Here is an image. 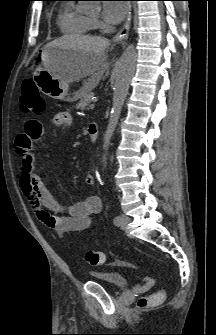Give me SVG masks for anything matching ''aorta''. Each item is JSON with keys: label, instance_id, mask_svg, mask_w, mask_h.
I'll return each mask as SVG.
<instances>
[{"label": "aorta", "instance_id": "762f6f07", "mask_svg": "<svg viewBox=\"0 0 216 335\" xmlns=\"http://www.w3.org/2000/svg\"><path fill=\"white\" fill-rule=\"evenodd\" d=\"M136 60V49L133 44H130L124 50L115 73L112 109L103 139V149L105 153L108 151L110 140L118 124L130 82L134 75ZM103 163L106 164V155L103 156Z\"/></svg>", "mask_w": 216, "mask_h": 335}]
</instances>
